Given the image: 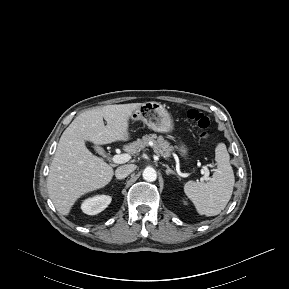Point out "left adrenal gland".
<instances>
[{"mask_svg":"<svg viewBox=\"0 0 289 289\" xmlns=\"http://www.w3.org/2000/svg\"><path fill=\"white\" fill-rule=\"evenodd\" d=\"M163 166L167 168V170H166V174H167V175L173 174V175L177 176V174H176L168 165L163 164ZM177 177L179 178V176H177ZM179 179H180V178H179Z\"/></svg>","mask_w":289,"mask_h":289,"instance_id":"obj_1","label":"left adrenal gland"}]
</instances>
